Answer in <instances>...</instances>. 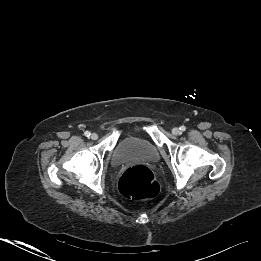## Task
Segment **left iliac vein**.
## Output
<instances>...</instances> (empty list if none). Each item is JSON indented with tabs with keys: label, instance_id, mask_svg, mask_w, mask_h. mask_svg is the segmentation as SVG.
I'll return each mask as SVG.
<instances>
[{
	"label": "left iliac vein",
	"instance_id": "4c4485c4",
	"mask_svg": "<svg viewBox=\"0 0 261 261\" xmlns=\"http://www.w3.org/2000/svg\"><path fill=\"white\" fill-rule=\"evenodd\" d=\"M172 133H173L174 135H179V134L181 133V131H180L179 128L175 127V128L172 129Z\"/></svg>",
	"mask_w": 261,
	"mask_h": 261
}]
</instances>
